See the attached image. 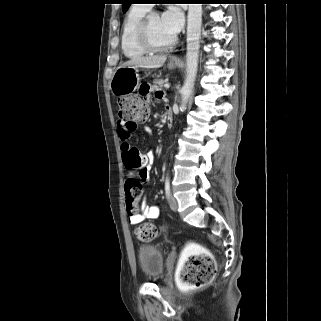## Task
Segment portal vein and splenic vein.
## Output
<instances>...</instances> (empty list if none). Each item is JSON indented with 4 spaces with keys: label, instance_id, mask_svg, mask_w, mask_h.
Instances as JSON below:
<instances>
[{
    "label": "portal vein and splenic vein",
    "instance_id": "obj_1",
    "mask_svg": "<svg viewBox=\"0 0 321 321\" xmlns=\"http://www.w3.org/2000/svg\"><path fill=\"white\" fill-rule=\"evenodd\" d=\"M164 87L168 89L170 87V84H165Z\"/></svg>",
    "mask_w": 321,
    "mask_h": 321
}]
</instances>
